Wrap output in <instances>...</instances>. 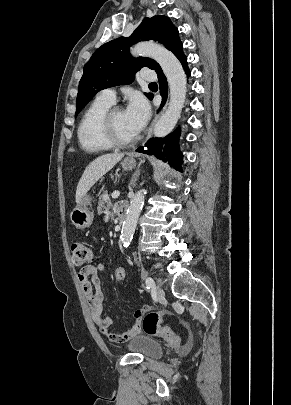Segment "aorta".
<instances>
[{
	"label": "aorta",
	"instance_id": "aorta-1",
	"mask_svg": "<svg viewBox=\"0 0 291 405\" xmlns=\"http://www.w3.org/2000/svg\"><path fill=\"white\" fill-rule=\"evenodd\" d=\"M133 56H147L154 59L167 77L170 89V101L165 113L154 126V135L164 137L175 127L184 107L187 81L183 67L177 57L164 46L153 41L140 42L131 49ZM144 204L142 190L136 192L127 210L126 219L122 226L121 241L128 247L132 241L137 220Z\"/></svg>",
	"mask_w": 291,
	"mask_h": 405
}]
</instances>
